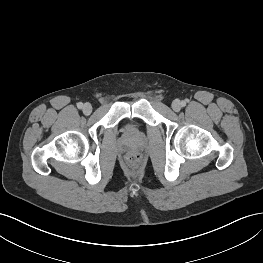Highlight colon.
Wrapping results in <instances>:
<instances>
[{
  "instance_id": "5ec220e1",
  "label": "colon",
  "mask_w": 263,
  "mask_h": 263,
  "mask_svg": "<svg viewBox=\"0 0 263 263\" xmlns=\"http://www.w3.org/2000/svg\"><path fill=\"white\" fill-rule=\"evenodd\" d=\"M127 159L129 162L136 164L140 162L141 156L138 153H130Z\"/></svg>"
}]
</instances>
